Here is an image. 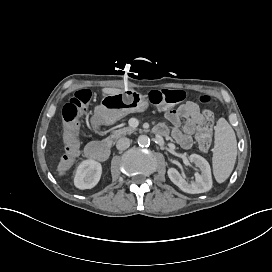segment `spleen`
<instances>
[{"instance_id":"3e777b00","label":"spleen","mask_w":272,"mask_h":272,"mask_svg":"<svg viewBox=\"0 0 272 272\" xmlns=\"http://www.w3.org/2000/svg\"><path fill=\"white\" fill-rule=\"evenodd\" d=\"M237 155V142L234 130L225 118L221 117L215 126L213 149V172L219 183L231 174Z\"/></svg>"}]
</instances>
